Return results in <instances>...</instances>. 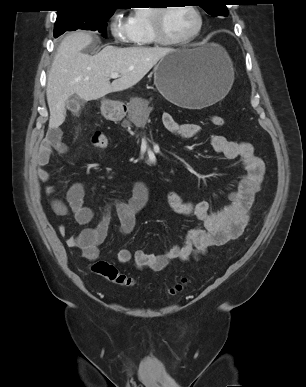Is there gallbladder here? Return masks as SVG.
<instances>
[{
    "mask_svg": "<svg viewBox=\"0 0 306 387\" xmlns=\"http://www.w3.org/2000/svg\"><path fill=\"white\" fill-rule=\"evenodd\" d=\"M81 104H84V101L79 98L78 96H71L67 101H66V107L72 112H76L79 109V106Z\"/></svg>",
    "mask_w": 306,
    "mask_h": 387,
    "instance_id": "gallbladder-1",
    "label": "gallbladder"
}]
</instances>
